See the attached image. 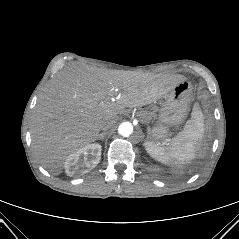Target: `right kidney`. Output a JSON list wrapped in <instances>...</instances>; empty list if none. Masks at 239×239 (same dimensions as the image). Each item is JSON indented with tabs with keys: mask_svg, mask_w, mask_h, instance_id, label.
I'll return each mask as SVG.
<instances>
[{
	"mask_svg": "<svg viewBox=\"0 0 239 239\" xmlns=\"http://www.w3.org/2000/svg\"><path fill=\"white\" fill-rule=\"evenodd\" d=\"M101 159V145L94 143L70 154L65 161V172L68 176H78L95 168Z\"/></svg>",
	"mask_w": 239,
	"mask_h": 239,
	"instance_id": "right-kidney-1",
	"label": "right kidney"
}]
</instances>
